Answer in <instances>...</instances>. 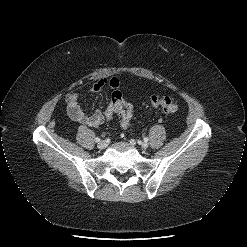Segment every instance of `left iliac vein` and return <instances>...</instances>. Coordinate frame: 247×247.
I'll return each instance as SVG.
<instances>
[{
	"label": "left iliac vein",
	"instance_id": "4c4485c4",
	"mask_svg": "<svg viewBox=\"0 0 247 247\" xmlns=\"http://www.w3.org/2000/svg\"><path fill=\"white\" fill-rule=\"evenodd\" d=\"M148 143L147 142H142L141 143V147L143 148V149H147L148 148Z\"/></svg>",
	"mask_w": 247,
	"mask_h": 247
}]
</instances>
